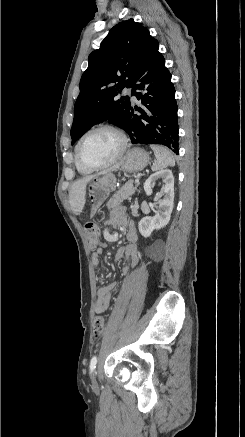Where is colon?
<instances>
[{"label": "colon", "instance_id": "1", "mask_svg": "<svg viewBox=\"0 0 245 437\" xmlns=\"http://www.w3.org/2000/svg\"><path fill=\"white\" fill-rule=\"evenodd\" d=\"M84 229L88 238L89 246L91 249H95L99 241V227L95 222H86ZM105 328V318L102 315H98L93 324V334L95 338H99Z\"/></svg>", "mask_w": 245, "mask_h": 437}]
</instances>
